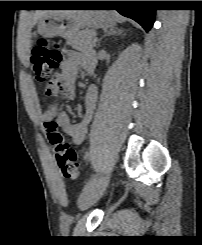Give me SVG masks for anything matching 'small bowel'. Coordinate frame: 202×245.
<instances>
[{
	"label": "small bowel",
	"instance_id": "small-bowel-1",
	"mask_svg": "<svg viewBox=\"0 0 202 245\" xmlns=\"http://www.w3.org/2000/svg\"><path fill=\"white\" fill-rule=\"evenodd\" d=\"M96 62L93 56H83L75 51H64V60L61 68V74L58 75L56 81L55 95L63 92L68 100L75 98V82L78 77L80 68H84L88 72L95 69ZM98 97L96 86H91L84 97V113L78 122L72 121L70 115L65 112H58L56 107H50L40 115V119L44 122L55 119L57 123L71 137L75 144H80L86 137L87 128L92 120V114L95 110Z\"/></svg>",
	"mask_w": 202,
	"mask_h": 245
}]
</instances>
